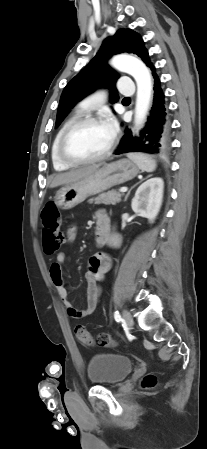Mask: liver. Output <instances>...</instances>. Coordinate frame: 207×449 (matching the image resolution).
Returning a JSON list of instances; mask_svg holds the SVG:
<instances>
[{
	"label": "liver",
	"instance_id": "obj_1",
	"mask_svg": "<svg viewBox=\"0 0 207 449\" xmlns=\"http://www.w3.org/2000/svg\"><path fill=\"white\" fill-rule=\"evenodd\" d=\"M98 168L99 165H92L74 171L58 174L53 178L50 184V188H55L60 185H68L73 182H76L81 178L95 172Z\"/></svg>",
	"mask_w": 207,
	"mask_h": 449
}]
</instances>
